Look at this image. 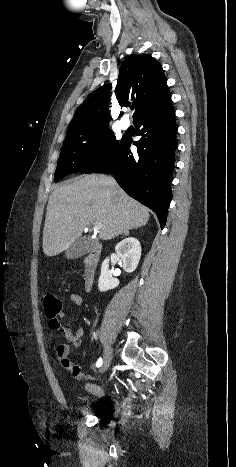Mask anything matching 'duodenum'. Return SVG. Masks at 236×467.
Returning <instances> with one entry per match:
<instances>
[{
  "label": "duodenum",
  "mask_w": 236,
  "mask_h": 467,
  "mask_svg": "<svg viewBox=\"0 0 236 467\" xmlns=\"http://www.w3.org/2000/svg\"><path fill=\"white\" fill-rule=\"evenodd\" d=\"M102 252V246L99 243H92L87 255L86 264L84 268L83 286L86 291H89L94 282L97 272L99 259Z\"/></svg>",
  "instance_id": "obj_1"
}]
</instances>
